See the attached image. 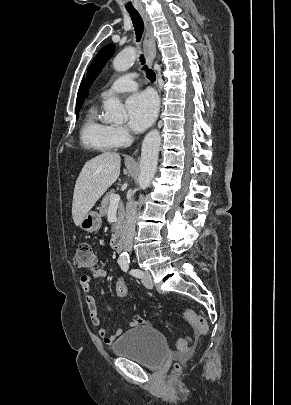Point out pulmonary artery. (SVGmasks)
I'll list each match as a JSON object with an SVG mask.
<instances>
[{"label":"pulmonary artery","instance_id":"pulmonary-artery-1","mask_svg":"<svg viewBox=\"0 0 291 405\" xmlns=\"http://www.w3.org/2000/svg\"><path fill=\"white\" fill-rule=\"evenodd\" d=\"M137 75L134 73L124 74L115 79L111 85L102 92L103 97L110 96L112 94L134 91L138 88L136 82Z\"/></svg>","mask_w":291,"mask_h":405}]
</instances>
